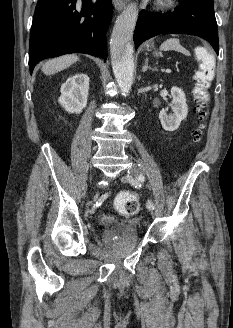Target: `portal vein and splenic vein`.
<instances>
[{
	"mask_svg": "<svg viewBox=\"0 0 233 328\" xmlns=\"http://www.w3.org/2000/svg\"><path fill=\"white\" fill-rule=\"evenodd\" d=\"M166 73H171V70L170 69H166Z\"/></svg>",
	"mask_w": 233,
	"mask_h": 328,
	"instance_id": "18ae733b",
	"label": "portal vein and splenic vein"
}]
</instances>
